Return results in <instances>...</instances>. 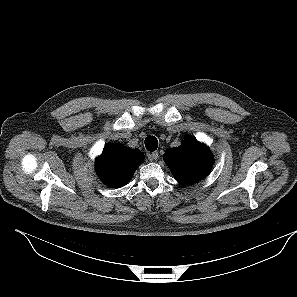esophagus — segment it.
Listing matches in <instances>:
<instances>
[{
	"mask_svg": "<svg viewBox=\"0 0 297 297\" xmlns=\"http://www.w3.org/2000/svg\"><path fill=\"white\" fill-rule=\"evenodd\" d=\"M159 157V153L157 151L152 152L150 155V160H157Z\"/></svg>",
	"mask_w": 297,
	"mask_h": 297,
	"instance_id": "obj_1",
	"label": "esophagus"
}]
</instances>
